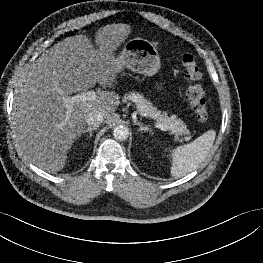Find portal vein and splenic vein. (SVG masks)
Instances as JSON below:
<instances>
[{
  "instance_id": "18ae733b",
  "label": "portal vein and splenic vein",
  "mask_w": 263,
  "mask_h": 263,
  "mask_svg": "<svg viewBox=\"0 0 263 263\" xmlns=\"http://www.w3.org/2000/svg\"><path fill=\"white\" fill-rule=\"evenodd\" d=\"M96 92L95 91H87V92H83L81 94H77V95H74V96H69V97H66L65 98V101H66V106H67V111H66V120L70 117L71 115V104L75 103V102H82V101H88V100H94L96 98ZM63 125H65L66 123L63 122L62 123ZM156 127L161 129V130H164L165 131V125H163L162 123L160 122H156Z\"/></svg>"
}]
</instances>
